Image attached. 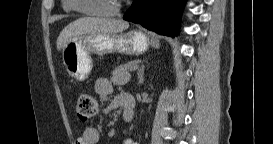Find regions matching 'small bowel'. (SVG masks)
<instances>
[{
	"label": "small bowel",
	"instance_id": "small-bowel-1",
	"mask_svg": "<svg viewBox=\"0 0 273 144\" xmlns=\"http://www.w3.org/2000/svg\"><path fill=\"white\" fill-rule=\"evenodd\" d=\"M96 93L104 100H108L106 111L111 112L117 109L120 105L118 103V96L111 99L113 92V85L108 78L102 77L95 82ZM99 141V132L93 127L84 129L82 135L75 140V144H97ZM124 144H133L129 138L124 139Z\"/></svg>",
	"mask_w": 273,
	"mask_h": 144
}]
</instances>
